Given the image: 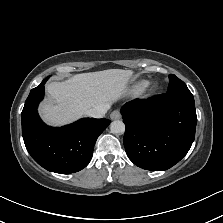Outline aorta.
Here are the masks:
<instances>
[{
	"label": "aorta",
	"instance_id": "1",
	"mask_svg": "<svg viewBox=\"0 0 223 223\" xmlns=\"http://www.w3.org/2000/svg\"><path fill=\"white\" fill-rule=\"evenodd\" d=\"M110 130L112 133H123L125 130V125L121 120H114L110 124Z\"/></svg>",
	"mask_w": 223,
	"mask_h": 223
}]
</instances>
